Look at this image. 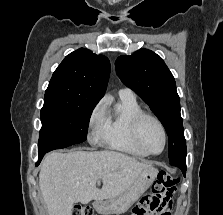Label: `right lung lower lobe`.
<instances>
[{
  "label": "right lung lower lobe",
  "instance_id": "98d812e1",
  "mask_svg": "<svg viewBox=\"0 0 223 215\" xmlns=\"http://www.w3.org/2000/svg\"><path fill=\"white\" fill-rule=\"evenodd\" d=\"M46 153H47V152H46ZM46 153H41V154H39V160H38V162L36 163V166L39 165V163L41 162L43 156H44Z\"/></svg>",
  "mask_w": 223,
  "mask_h": 215
}]
</instances>
